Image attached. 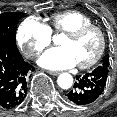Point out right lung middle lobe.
Returning <instances> with one entry per match:
<instances>
[{
	"label": "right lung middle lobe",
	"instance_id": "1",
	"mask_svg": "<svg viewBox=\"0 0 117 117\" xmlns=\"http://www.w3.org/2000/svg\"><path fill=\"white\" fill-rule=\"evenodd\" d=\"M24 16L20 12H5L0 15V45H16L17 22Z\"/></svg>",
	"mask_w": 117,
	"mask_h": 117
}]
</instances>
